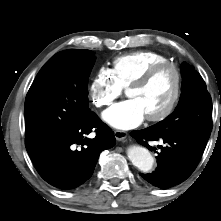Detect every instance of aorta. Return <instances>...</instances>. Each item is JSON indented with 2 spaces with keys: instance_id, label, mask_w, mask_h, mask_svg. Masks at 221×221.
<instances>
[{
  "instance_id": "aorta-1",
  "label": "aorta",
  "mask_w": 221,
  "mask_h": 221,
  "mask_svg": "<svg viewBox=\"0 0 221 221\" xmlns=\"http://www.w3.org/2000/svg\"><path fill=\"white\" fill-rule=\"evenodd\" d=\"M129 160L142 172H149L153 168L154 158L144 147L133 145L127 150Z\"/></svg>"
}]
</instances>
